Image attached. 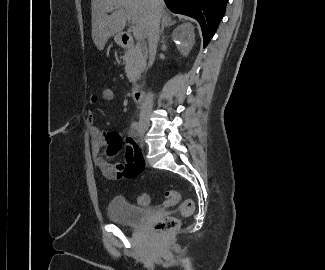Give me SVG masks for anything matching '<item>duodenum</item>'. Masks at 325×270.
<instances>
[{
	"instance_id": "obj_1",
	"label": "duodenum",
	"mask_w": 325,
	"mask_h": 270,
	"mask_svg": "<svg viewBox=\"0 0 325 270\" xmlns=\"http://www.w3.org/2000/svg\"><path fill=\"white\" fill-rule=\"evenodd\" d=\"M121 38L126 47L134 44V38L129 33L123 32ZM132 96L135 103H141L144 99L143 88L139 85L135 86L132 90Z\"/></svg>"
}]
</instances>
